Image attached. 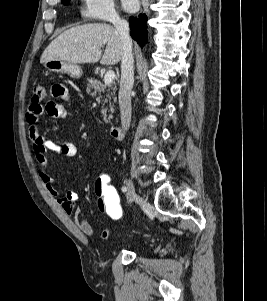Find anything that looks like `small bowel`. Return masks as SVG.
Returning <instances> with one entry per match:
<instances>
[{"label": "small bowel", "instance_id": "c3829d8e", "mask_svg": "<svg viewBox=\"0 0 267 301\" xmlns=\"http://www.w3.org/2000/svg\"><path fill=\"white\" fill-rule=\"evenodd\" d=\"M50 94L52 99L49 100L45 106H42L39 102H33L26 113V122L29 126V136L35 152V160L40 168L39 177L48 192L53 197L57 198V201L62 206L64 212L73 217V221L78 229L84 235L93 237L95 231L91 223L84 217L80 209L75 208V204L78 201V194L72 190H68L63 196H60L59 190L54 185L53 180L46 169V155L48 152L61 154L68 158L75 157L77 154V148L73 143L66 142L62 145H58L54 141L44 137L39 131L38 123L44 113L55 119H62L69 115L66 107L60 103V101L70 100V94L67 87L64 84L56 83L51 87ZM97 206L102 212L98 202ZM110 234L111 230L105 229L98 233V237L100 239H107Z\"/></svg>", "mask_w": 267, "mask_h": 301}]
</instances>
